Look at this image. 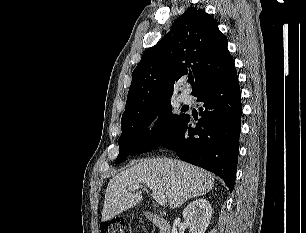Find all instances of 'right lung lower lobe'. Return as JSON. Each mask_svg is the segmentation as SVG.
Instances as JSON below:
<instances>
[{"mask_svg": "<svg viewBox=\"0 0 306 233\" xmlns=\"http://www.w3.org/2000/svg\"><path fill=\"white\" fill-rule=\"evenodd\" d=\"M203 102L201 118L192 128L186 115L177 131L159 146L180 159L220 176L232 192L236 179L241 128V94L237 72L207 88L197 97Z\"/></svg>", "mask_w": 306, "mask_h": 233, "instance_id": "98d812e1", "label": "right lung lower lobe"}]
</instances>
